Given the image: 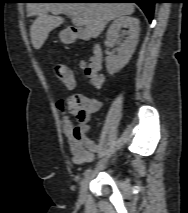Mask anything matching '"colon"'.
Masks as SVG:
<instances>
[{"label":"colon","instance_id":"1","mask_svg":"<svg viewBox=\"0 0 188 213\" xmlns=\"http://www.w3.org/2000/svg\"><path fill=\"white\" fill-rule=\"evenodd\" d=\"M82 69L85 74L91 79L92 84L96 88H101L104 84V78L98 72V67L94 66L92 63L83 62L81 64ZM54 72L57 77L64 83L68 88H74L76 85L74 75L72 71L64 64L55 63L53 65Z\"/></svg>","mask_w":188,"mask_h":213}]
</instances>
